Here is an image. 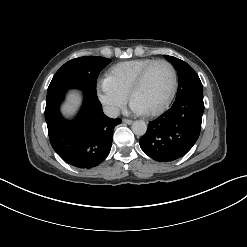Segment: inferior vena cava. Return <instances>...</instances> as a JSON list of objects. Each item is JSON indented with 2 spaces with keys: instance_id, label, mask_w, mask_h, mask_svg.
<instances>
[{
  "instance_id": "obj_1",
  "label": "inferior vena cava",
  "mask_w": 247,
  "mask_h": 247,
  "mask_svg": "<svg viewBox=\"0 0 247 247\" xmlns=\"http://www.w3.org/2000/svg\"><path fill=\"white\" fill-rule=\"evenodd\" d=\"M103 111L105 115H107L110 118H116L119 115V109L114 106H105L103 108Z\"/></svg>"
}]
</instances>
